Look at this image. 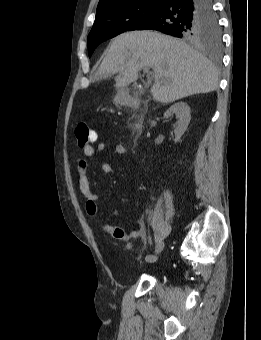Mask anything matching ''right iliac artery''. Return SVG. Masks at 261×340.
I'll return each mask as SVG.
<instances>
[{"label": "right iliac artery", "mask_w": 261, "mask_h": 340, "mask_svg": "<svg viewBox=\"0 0 261 340\" xmlns=\"http://www.w3.org/2000/svg\"><path fill=\"white\" fill-rule=\"evenodd\" d=\"M145 260H146L148 263H154V262H156L157 258H156L155 255L150 254V255H147V256H146Z\"/></svg>", "instance_id": "obj_1"}]
</instances>
